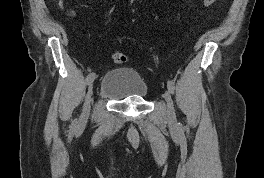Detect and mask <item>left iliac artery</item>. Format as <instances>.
Masks as SVG:
<instances>
[{
    "instance_id": "obj_1",
    "label": "left iliac artery",
    "mask_w": 264,
    "mask_h": 178,
    "mask_svg": "<svg viewBox=\"0 0 264 178\" xmlns=\"http://www.w3.org/2000/svg\"><path fill=\"white\" fill-rule=\"evenodd\" d=\"M167 87H168V90L170 91V93H174L175 91V85H174V82L172 81H168L167 82Z\"/></svg>"
}]
</instances>
